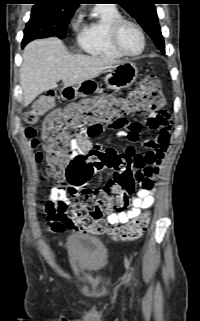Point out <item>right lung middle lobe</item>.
<instances>
[{"mask_svg": "<svg viewBox=\"0 0 200 321\" xmlns=\"http://www.w3.org/2000/svg\"><path fill=\"white\" fill-rule=\"evenodd\" d=\"M73 14L74 11L57 12L46 6H34L24 30L22 46L37 38L49 36L65 38L66 29Z\"/></svg>", "mask_w": 200, "mask_h": 321, "instance_id": "1", "label": "right lung middle lobe"}]
</instances>
